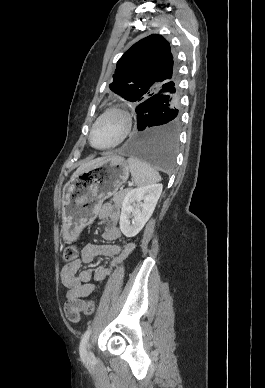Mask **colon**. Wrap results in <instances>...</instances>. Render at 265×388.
<instances>
[{
  "instance_id": "colon-1",
  "label": "colon",
  "mask_w": 265,
  "mask_h": 388,
  "mask_svg": "<svg viewBox=\"0 0 265 388\" xmlns=\"http://www.w3.org/2000/svg\"><path fill=\"white\" fill-rule=\"evenodd\" d=\"M78 257V249L74 245H69L65 248L63 252V259L68 264L73 263L76 261ZM82 311L87 315H92L95 311V304L92 301H87L84 303L82 307Z\"/></svg>"
}]
</instances>
